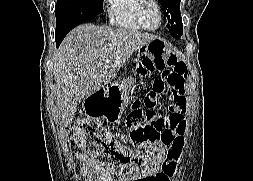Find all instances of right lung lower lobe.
<instances>
[{"instance_id": "1", "label": "right lung lower lobe", "mask_w": 253, "mask_h": 181, "mask_svg": "<svg viewBox=\"0 0 253 181\" xmlns=\"http://www.w3.org/2000/svg\"><path fill=\"white\" fill-rule=\"evenodd\" d=\"M66 34L67 33H62V34L56 35V45H57V47L60 45V43L62 42V40L66 36Z\"/></svg>"}]
</instances>
